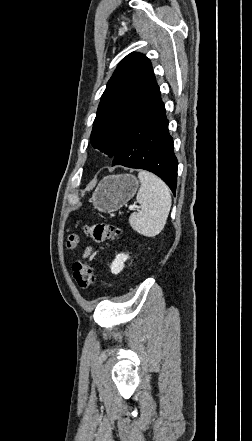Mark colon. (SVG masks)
Segmentation results:
<instances>
[{"label":"colon","mask_w":252,"mask_h":441,"mask_svg":"<svg viewBox=\"0 0 252 441\" xmlns=\"http://www.w3.org/2000/svg\"><path fill=\"white\" fill-rule=\"evenodd\" d=\"M83 230L95 242L115 239L121 234V230L118 227L103 222L88 223L84 225ZM77 243V235L71 234L68 238L67 246L70 249H73L76 247ZM73 277L79 288L88 289L93 285L95 280L93 266L90 263L83 261L75 262L73 265Z\"/></svg>","instance_id":"5ec220e1"}]
</instances>
